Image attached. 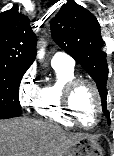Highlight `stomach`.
Instances as JSON below:
<instances>
[{"mask_svg": "<svg viewBox=\"0 0 114 156\" xmlns=\"http://www.w3.org/2000/svg\"><path fill=\"white\" fill-rule=\"evenodd\" d=\"M63 156H104L98 139L90 135L73 142Z\"/></svg>", "mask_w": 114, "mask_h": 156, "instance_id": "stomach-1", "label": "stomach"}]
</instances>
